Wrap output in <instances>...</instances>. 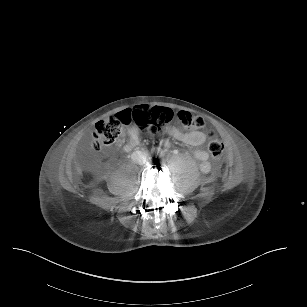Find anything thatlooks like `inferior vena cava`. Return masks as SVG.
I'll use <instances>...</instances> for the list:
<instances>
[{"label":"inferior vena cava","mask_w":307,"mask_h":307,"mask_svg":"<svg viewBox=\"0 0 307 307\" xmlns=\"http://www.w3.org/2000/svg\"><path fill=\"white\" fill-rule=\"evenodd\" d=\"M131 159L134 163L144 165L147 161V153L143 151H134L131 155Z\"/></svg>","instance_id":"602c4592"}]
</instances>
